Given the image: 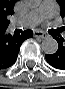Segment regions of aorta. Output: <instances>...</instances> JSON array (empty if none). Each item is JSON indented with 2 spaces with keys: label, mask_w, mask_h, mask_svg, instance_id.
I'll use <instances>...</instances> for the list:
<instances>
[{
  "label": "aorta",
  "mask_w": 65,
  "mask_h": 89,
  "mask_svg": "<svg viewBox=\"0 0 65 89\" xmlns=\"http://www.w3.org/2000/svg\"><path fill=\"white\" fill-rule=\"evenodd\" d=\"M39 2L37 0H31L28 2L29 7H37ZM41 48L46 54H55L58 50V43L52 37H46L41 43Z\"/></svg>",
  "instance_id": "obj_1"
}]
</instances>
